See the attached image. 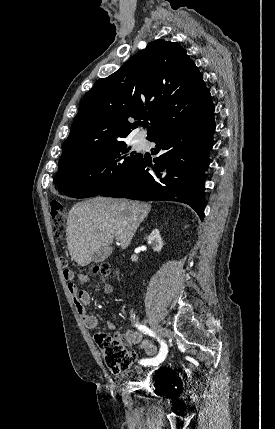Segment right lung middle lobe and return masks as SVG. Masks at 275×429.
<instances>
[{
	"instance_id": "1",
	"label": "right lung middle lobe",
	"mask_w": 275,
	"mask_h": 429,
	"mask_svg": "<svg viewBox=\"0 0 275 429\" xmlns=\"http://www.w3.org/2000/svg\"><path fill=\"white\" fill-rule=\"evenodd\" d=\"M140 159L120 141L65 163L53 180L70 197L97 196L124 178Z\"/></svg>"
}]
</instances>
